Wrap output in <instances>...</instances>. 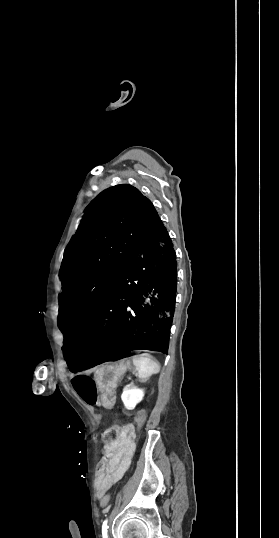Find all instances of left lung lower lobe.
I'll return each instance as SVG.
<instances>
[{"instance_id": "0a47b994", "label": "left lung lower lobe", "mask_w": 279, "mask_h": 538, "mask_svg": "<svg viewBox=\"0 0 279 538\" xmlns=\"http://www.w3.org/2000/svg\"><path fill=\"white\" fill-rule=\"evenodd\" d=\"M173 244L158 217L92 320L64 336V357L76 372L130 350L168 353L177 285Z\"/></svg>"}]
</instances>
